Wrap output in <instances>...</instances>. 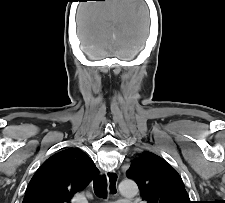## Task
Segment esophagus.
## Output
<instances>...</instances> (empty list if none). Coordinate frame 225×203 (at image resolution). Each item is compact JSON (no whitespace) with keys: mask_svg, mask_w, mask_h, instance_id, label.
Wrapping results in <instances>:
<instances>
[{"mask_svg":"<svg viewBox=\"0 0 225 203\" xmlns=\"http://www.w3.org/2000/svg\"><path fill=\"white\" fill-rule=\"evenodd\" d=\"M106 176L108 179L111 193H117L118 192L117 185L119 179L118 174L115 171H109L107 172Z\"/></svg>","mask_w":225,"mask_h":203,"instance_id":"1","label":"esophagus"}]
</instances>
